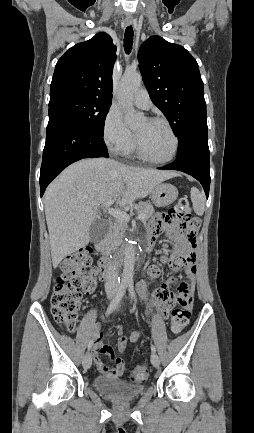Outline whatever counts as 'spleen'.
<instances>
[{
	"label": "spleen",
	"instance_id": "1",
	"mask_svg": "<svg viewBox=\"0 0 254 433\" xmlns=\"http://www.w3.org/2000/svg\"><path fill=\"white\" fill-rule=\"evenodd\" d=\"M191 201L193 203L194 212L202 216L205 211V200L203 194L195 187L191 188Z\"/></svg>",
	"mask_w": 254,
	"mask_h": 433
}]
</instances>
